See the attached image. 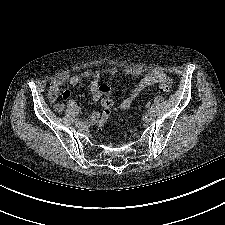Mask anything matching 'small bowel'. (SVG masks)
Wrapping results in <instances>:
<instances>
[{
    "label": "small bowel",
    "instance_id": "small-bowel-1",
    "mask_svg": "<svg viewBox=\"0 0 225 225\" xmlns=\"http://www.w3.org/2000/svg\"><path fill=\"white\" fill-rule=\"evenodd\" d=\"M118 72L116 67H108L103 69L85 70L77 75H70L66 70L59 72L52 80V83L48 89V99L54 104V108L57 112H61L63 105L57 102L60 95L61 86L65 83H69L72 87L78 86L82 80L92 78V82L89 85V92L95 102L102 99L109 98L111 89L107 84H101L99 81L103 75H115ZM123 73L129 77L142 76V78L131 88L128 95L121 101L119 107L121 110H127L131 107L135 99L140 93L150 85L155 83H167L171 84L172 79L170 76L162 70L152 69L145 71L139 67H129L123 70ZM71 96L70 90H65L62 93L63 99H68ZM99 117L97 113H93L88 123L94 124Z\"/></svg>",
    "mask_w": 225,
    "mask_h": 225
}]
</instances>
